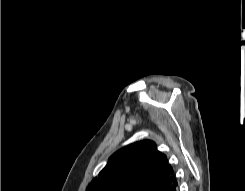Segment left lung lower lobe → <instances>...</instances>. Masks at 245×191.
I'll return each instance as SVG.
<instances>
[{
  "label": "left lung lower lobe",
  "mask_w": 245,
  "mask_h": 191,
  "mask_svg": "<svg viewBox=\"0 0 245 191\" xmlns=\"http://www.w3.org/2000/svg\"><path fill=\"white\" fill-rule=\"evenodd\" d=\"M159 191H178V182L175 174Z\"/></svg>",
  "instance_id": "obj_1"
}]
</instances>
